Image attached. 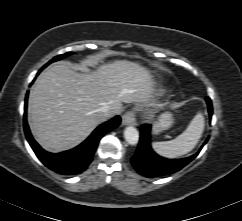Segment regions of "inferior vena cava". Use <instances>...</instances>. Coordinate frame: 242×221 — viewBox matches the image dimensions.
<instances>
[{
	"label": "inferior vena cava",
	"instance_id": "1",
	"mask_svg": "<svg viewBox=\"0 0 242 221\" xmlns=\"http://www.w3.org/2000/svg\"><path fill=\"white\" fill-rule=\"evenodd\" d=\"M99 111H101L105 117H108V116H110V115L116 113V111L113 110V109H112L110 106H108V105H105V106L101 107V108L99 109Z\"/></svg>",
	"mask_w": 242,
	"mask_h": 221
}]
</instances>
